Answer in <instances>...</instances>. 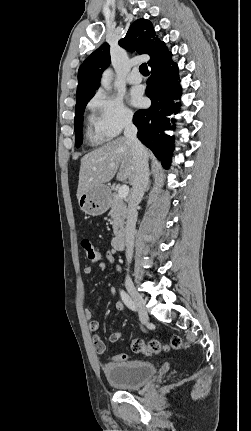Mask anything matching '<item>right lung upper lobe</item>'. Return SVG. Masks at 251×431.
<instances>
[{"label": "right lung upper lobe", "mask_w": 251, "mask_h": 431, "mask_svg": "<svg viewBox=\"0 0 251 431\" xmlns=\"http://www.w3.org/2000/svg\"><path fill=\"white\" fill-rule=\"evenodd\" d=\"M119 45L140 54H149V66L163 63L171 55L165 43L155 36L152 23L143 18L132 23ZM109 64V44L104 43L89 55L79 68L77 99L94 94L100 85L101 74Z\"/></svg>", "instance_id": "cb5924a9"}]
</instances>
